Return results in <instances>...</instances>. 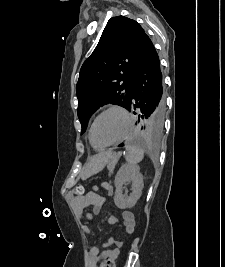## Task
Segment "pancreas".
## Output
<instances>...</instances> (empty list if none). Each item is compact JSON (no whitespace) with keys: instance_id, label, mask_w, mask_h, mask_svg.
<instances>
[{"instance_id":"1","label":"pancreas","mask_w":225,"mask_h":267,"mask_svg":"<svg viewBox=\"0 0 225 267\" xmlns=\"http://www.w3.org/2000/svg\"><path fill=\"white\" fill-rule=\"evenodd\" d=\"M116 162H117V159H113L108 163L109 175L113 174V170H114Z\"/></svg>"}]
</instances>
